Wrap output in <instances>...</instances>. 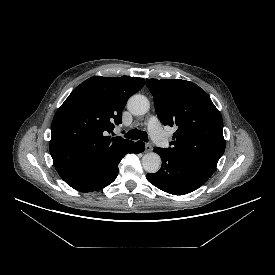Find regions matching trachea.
I'll use <instances>...</instances> for the list:
<instances>
[{"label": "trachea", "instance_id": "3493384b", "mask_svg": "<svg viewBox=\"0 0 275 275\" xmlns=\"http://www.w3.org/2000/svg\"><path fill=\"white\" fill-rule=\"evenodd\" d=\"M125 138L132 139V140L140 139V140H143L145 142H148L147 133L145 131H141V130H138V129H133V130L128 131L125 134Z\"/></svg>", "mask_w": 275, "mask_h": 275}]
</instances>
